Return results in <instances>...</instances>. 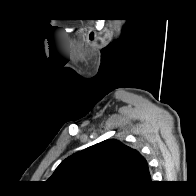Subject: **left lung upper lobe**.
Masks as SVG:
<instances>
[{
    "mask_svg": "<svg viewBox=\"0 0 196 196\" xmlns=\"http://www.w3.org/2000/svg\"><path fill=\"white\" fill-rule=\"evenodd\" d=\"M150 177L146 159L134 148L108 139L63 160L50 182L86 193H128Z\"/></svg>",
    "mask_w": 196,
    "mask_h": 196,
    "instance_id": "5c2ea615",
    "label": "left lung upper lobe"
}]
</instances>
